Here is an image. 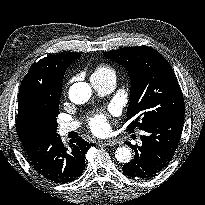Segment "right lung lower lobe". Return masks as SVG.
Here are the masks:
<instances>
[{
	"instance_id": "obj_1",
	"label": "right lung lower lobe",
	"mask_w": 205,
	"mask_h": 205,
	"mask_svg": "<svg viewBox=\"0 0 205 205\" xmlns=\"http://www.w3.org/2000/svg\"><path fill=\"white\" fill-rule=\"evenodd\" d=\"M35 170L56 183H68L85 169V153L92 146L82 138L72 139L70 148L63 145L59 134H40L21 140Z\"/></svg>"
}]
</instances>
